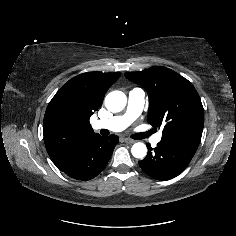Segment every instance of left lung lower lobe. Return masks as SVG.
Listing matches in <instances>:
<instances>
[{
	"mask_svg": "<svg viewBox=\"0 0 236 236\" xmlns=\"http://www.w3.org/2000/svg\"><path fill=\"white\" fill-rule=\"evenodd\" d=\"M199 143L198 140H161L155 149L147 144L148 154L139 165L154 179H172L188 166Z\"/></svg>",
	"mask_w": 236,
	"mask_h": 236,
	"instance_id": "left-lung-lower-lobe-1",
	"label": "left lung lower lobe"
}]
</instances>
